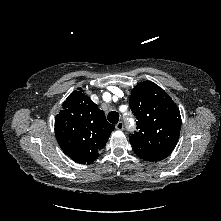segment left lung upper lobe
Returning a JSON list of instances; mask_svg holds the SVG:
<instances>
[{
    "instance_id": "left-lung-upper-lobe-1",
    "label": "left lung upper lobe",
    "mask_w": 221,
    "mask_h": 221,
    "mask_svg": "<svg viewBox=\"0 0 221 221\" xmlns=\"http://www.w3.org/2000/svg\"><path fill=\"white\" fill-rule=\"evenodd\" d=\"M129 105L137 119V129L129 141L139 158L160 161L175 148L181 130L177 105L153 82L137 84L132 90Z\"/></svg>"
}]
</instances>
